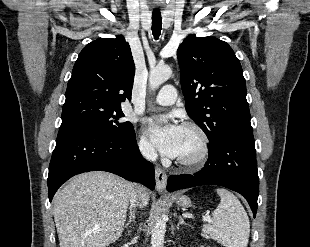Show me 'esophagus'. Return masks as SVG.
<instances>
[{"instance_id":"1","label":"esophagus","mask_w":310,"mask_h":247,"mask_svg":"<svg viewBox=\"0 0 310 247\" xmlns=\"http://www.w3.org/2000/svg\"><path fill=\"white\" fill-rule=\"evenodd\" d=\"M156 188L159 193H162L166 189L167 175L163 169L156 167L155 169Z\"/></svg>"}]
</instances>
